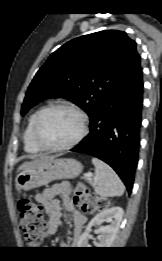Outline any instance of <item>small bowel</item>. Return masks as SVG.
I'll return each instance as SVG.
<instances>
[{"label":"small bowel","mask_w":162,"mask_h":261,"mask_svg":"<svg viewBox=\"0 0 162 261\" xmlns=\"http://www.w3.org/2000/svg\"><path fill=\"white\" fill-rule=\"evenodd\" d=\"M71 185L69 182H59L44 189L36 195V201L40 203L48 216L47 235H53L60 222V198L65 209L73 214L74 234L78 236L86 222V217L75 209L70 199Z\"/></svg>","instance_id":"obj_1"}]
</instances>
